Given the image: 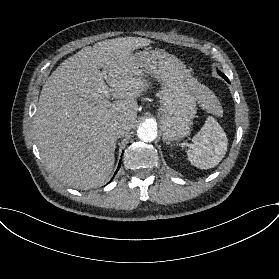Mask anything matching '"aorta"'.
Returning <instances> with one entry per match:
<instances>
[{
    "instance_id": "762f6f07",
    "label": "aorta",
    "mask_w": 279,
    "mask_h": 279,
    "mask_svg": "<svg viewBox=\"0 0 279 279\" xmlns=\"http://www.w3.org/2000/svg\"><path fill=\"white\" fill-rule=\"evenodd\" d=\"M137 136L141 141L152 142L157 137V127L151 121H145L139 125L137 129Z\"/></svg>"
}]
</instances>
